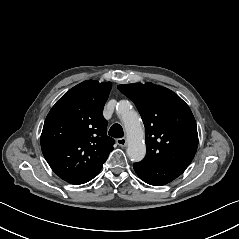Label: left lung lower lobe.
Listing matches in <instances>:
<instances>
[{
	"label": "left lung lower lobe",
	"mask_w": 239,
	"mask_h": 239,
	"mask_svg": "<svg viewBox=\"0 0 239 239\" xmlns=\"http://www.w3.org/2000/svg\"><path fill=\"white\" fill-rule=\"evenodd\" d=\"M133 167L144 182L154 186H162L171 182L187 168L186 166L145 164L143 162L134 163Z\"/></svg>",
	"instance_id": "1"
}]
</instances>
